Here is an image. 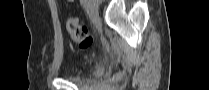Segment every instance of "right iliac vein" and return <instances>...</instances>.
<instances>
[{"instance_id":"1","label":"right iliac vein","mask_w":209,"mask_h":90,"mask_svg":"<svg viewBox=\"0 0 209 90\" xmlns=\"http://www.w3.org/2000/svg\"><path fill=\"white\" fill-rule=\"evenodd\" d=\"M88 8L90 10L91 15L94 18H97L98 17V4H97V2L94 1V0L88 1Z\"/></svg>"}]
</instances>
